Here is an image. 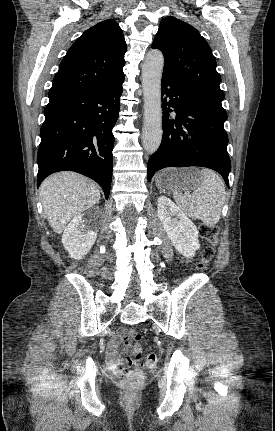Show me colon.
Listing matches in <instances>:
<instances>
[{"label":"colon","mask_w":275,"mask_h":431,"mask_svg":"<svg viewBox=\"0 0 275 431\" xmlns=\"http://www.w3.org/2000/svg\"><path fill=\"white\" fill-rule=\"evenodd\" d=\"M199 232L203 238L207 239L211 243V246L204 249L202 261L198 264V268L202 269L214 256V246L218 240L219 229L208 224H201ZM127 338L138 341L141 339V335L135 330H130L127 332ZM133 353L136 355L138 360L137 365L134 368H129L128 364L123 363L116 370V373L122 377V386L128 391H136L140 389L144 382L143 368L153 367L158 361L157 356L154 353H149L146 355L144 362H141L142 354L139 344L133 346Z\"/></svg>","instance_id":"1"}]
</instances>
